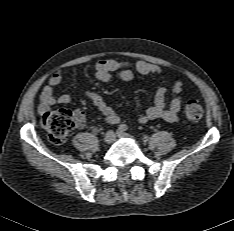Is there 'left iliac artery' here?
<instances>
[{
    "label": "left iliac artery",
    "mask_w": 234,
    "mask_h": 231,
    "mask_svg": "<svg viewBox=\"0 0 234 231\" xmlns=\"http://www.w3.org/2000/svg\"><path fill=\"white\" fill-rule=\"evenodd\" d=\"M118 129L120 131H126L128 129V126L126 124H121V125H119Z\"/></svg>",
    "instance_id": "44dca946"
}]
</instances>
